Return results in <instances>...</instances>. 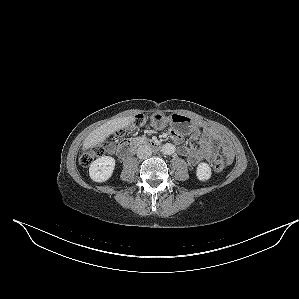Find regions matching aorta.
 Wrapping results in <instances>:
<instances>
[{"mask_svg": "<svg viewBox=\"0 0 299 299\" xmlns=\"http://www.w3.org/2000/svg\"><path fill=\"white\" fill-rule=\"evenodd\" d=\"M163 154L172 155L175 152V146L171 143H166L162 147Z\"/></svg>", "mask_w": 299, "mask_h": 299, "instance_id": "762f6f07", "label": "aorta"}]
</instances>
